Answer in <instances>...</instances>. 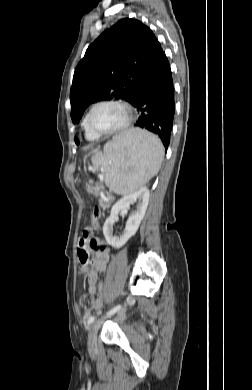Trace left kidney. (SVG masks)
I'll use <instances>...</instances> for the list:
<instances>
[{
    "label": "left kidney",
    "mask_w": 252,
    "mask_h": 390,
    "mask_svg": "<svg viewBox=\"0 0 252 390\" xmlns=\"http://www.w3.org/2000/svg\"><path fill=\"white\" fill-rule=\"evenodd\" d=\"M137 201V208L128 218L122 235L119 237L113 235V225L119 212L121 210L128 209L131 204ZM148 202L149 190L147 187H142L136 192L124 196L113 205L110 216L106 219L103 226V234L109 245L117 249L121 248L136 233L145 215Z\"/></svg>",
    "instance_id": "5707ae66"
}]
</instances>
